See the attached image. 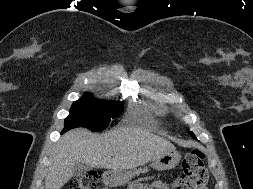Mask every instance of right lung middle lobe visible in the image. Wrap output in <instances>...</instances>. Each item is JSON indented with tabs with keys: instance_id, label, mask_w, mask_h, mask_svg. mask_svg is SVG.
Here are the masks:
<instances>
[{
	"instance_id": "right-lung-middle-lobe-1",
	"label": "right lung middle lobe",
	"mask_w": 253,
	"mask_h": 189,
	"mask_svg": "<svg viewBox=\"0 0 253 189\" xmlns=\"http://www.w3.org/2000/svg\"><path fill=\"white\" fill-rule=\"evenodd\" d=\"M124 104L114 101H101L85 96L75 101L70 109L69 116L65 119L62 133L75 127H86L92 131H101L108 127L111 119L118 117Z\"/></svg>"
}]
</instances>
